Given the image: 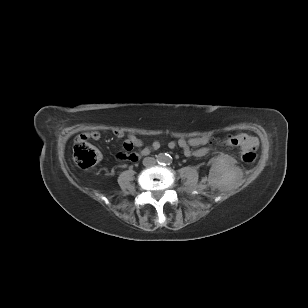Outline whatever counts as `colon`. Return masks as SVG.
<instances>
[{"label": "colon", "mask_w": 308, "mask_h": 308, "mask_svg": "<svg viewBox=\"0 0 308 308\" xmlns=\"http://www.w3.org/2000/svg\"><path fill=\"white\" fill-rule=\"evenodd\" d=\"M223 141L234 147L240 148V155L244 162L251 163L256 159L255 150L257 149L259 142L255 137L248 136L246 134H238L235 136H228ZM209 142H212L210 140ZM124 152L118 154V158L121 160L135 161V154L129 153L132 150L131 146H124ZM102 158L101 152L93 145L89 143V137L82 135L76 138L74 145V159L79 167L88 169L94 167L100 162Z\"/></svg>", "instance_id": "colon-1"}]
</instances>
